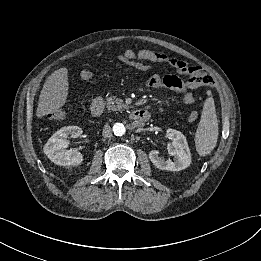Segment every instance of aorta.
I'll list each match as a JSON object with an SVG mask.
<instances>
[{
  "mask_svg": "<svg viewBox=\"0 0 261 261\" xmlns=\"http://www.w3.org/2000/svg\"><path fill=\"white\" fill-rule=\"evenodd\" d=\"M113 132L116 136H123L126 132V128L122 123H115L113 125Z\"/></svg>",
  "mask_w": 261,
  "mask_h": 261,
  "instance_id": "1",
  "label": "aorta"
}]
</instances>
